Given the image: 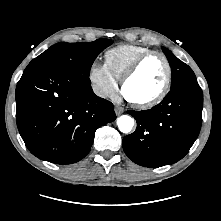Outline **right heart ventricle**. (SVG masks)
Wrapping results in <instances>:
<instances>
[{
	"label": "right heart ventricle",
	"mask_w": 221,
	"mask_h": 221,
	"mask_svg": "<svg viewBox=\"0 0 221 221\" xmlns=\"http://www.w3.org/2000/svg\"><path fill=\"white\" fill-rule=\"evenodd\" d=\"M149 48L137 44H121L107 50L104 54V65L109 74L117 81H121L125 72Z\"/></svg>",
	"instance_id": "right-heart-ventricle-1"
}]
</instances>
